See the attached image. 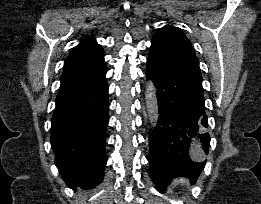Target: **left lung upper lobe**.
I'll return each instance as SVG.
<instances>
[{
    "mask_svg": "<svg viewBox=\"0 0 261 204\" xmlns=\"http://www.w3.org/2000/svg\"><path fill=\"white\" fill-rule=\"evenodd\" d=\"M162 31H173V32H177L183 36H185L178 28H175V27H172V26H169V25H166L164 26L161 30H159L158 32H162ZM157 32V33H158ZM186 37V36H185Z\"/></svg>",
    "mask_w": 261,
    "mask_h": 204,
    "instance_id": "5c2ea615",
    "label": "left lung upper lobe"
}]
</instances>
